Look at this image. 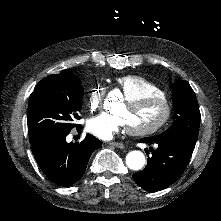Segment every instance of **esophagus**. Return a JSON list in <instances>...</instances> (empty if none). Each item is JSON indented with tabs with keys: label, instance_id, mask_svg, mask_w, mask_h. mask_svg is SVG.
Returning a JSON list of instances; mask_svg holds the SVG:
<instances>
[{
	"label": "esophagus",
	"instance_id": "obj_1",
	"mask_svg": "<svg viewBox=\"0 0 221 221\" xmlns=\"http://www.w3.org/2000/svg\"><path fill=\"white\" fill-rule=\"evenodd\" d=\"M109 146H114L116 148H120L123 149L124 148V144L121 142H109L107 143Z\"/></svg>",
	"mask_w": 221,
	"mask_h": 221
}]
</instances>
